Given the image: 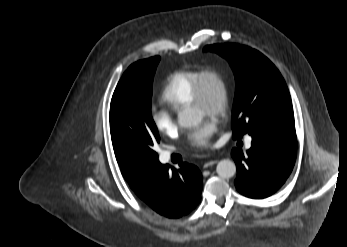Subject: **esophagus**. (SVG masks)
Segmentation results:
<instances>
[{"mask_svg":"<svg viewBox=\"0 0 347 247\" xmlns=\"http://www.w3.org/2000/svg\"><path fill=\"white\" fill-rule=\"evenodd\" d=\"M218 161L217 160H208L204 163L203 167L204 168H208L210 166H213L217 163Z\"/></svg>","mask_w":347,"mask_h":247,"instance_id":"obj_1","label":"esophagus"}]
</instances>
